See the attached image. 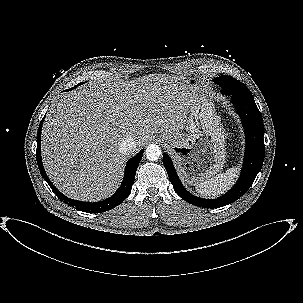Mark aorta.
<instances>
[{
  "instance_id": "aorta-1",
  "label": "aorta",
  "mask_w": 303,
  "mask_h": 303,
  "mask_svg": "<svg viewBox=\"0 0 303 303\" xmlns=\"http://www.w3.org/2000/svg\"><path fill=\"white\" fill-rule=\"evenodd\" d=\"M146 158L150 161H157L161 156V148L156 144H150L145 150Z\"/></svg>"
}]
</instances>
